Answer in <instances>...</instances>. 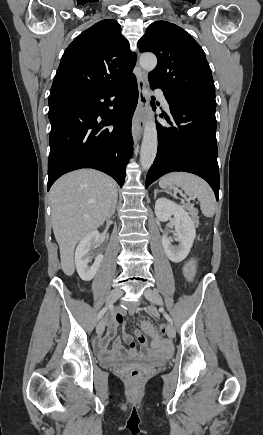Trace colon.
I'll list each match as a JSON object with an SVG mask.
<instances>
[{"label":"colon","instance_id":"colon-1","mask_svg":"<svg viewBox=\"0 0 263 435\" xmlns=\"http://www.w3.org/2000/svg\"><path fill=\"white\" fill-rule=\"evenodd\" d=\"M157 327L160 329V331L162 333H164L166 330L164 324H159ZM151 343H152V341H151ZM125 378L127 381H129L131 383H137L142 378V372L138 369H132L129 372H127V374L125 375Z\"/></svg>","mask_w":263,"mask_h":435}]
</instances>
